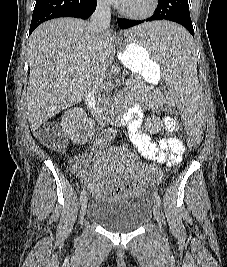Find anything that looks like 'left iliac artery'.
<instances>
[{"label":"left iliac artery","instance_id":"1","mask_svg":"<svg viewBox=\"0 0 227 267\" xmlns=\"http://www.w3.org/2000/svg\"><path fill=\"white\" fill-rule=\"evenodd\" d=\"M154 197H155V200L158 203V205H160L161 204V200H160V197L158 195V192L154 191Z\"/></svg>","mask_w":227,"mask_h":267}]
</instances>
